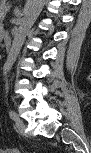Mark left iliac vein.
Listing matches in <instances>:
<instances>
[{"mask_svg": "<svg viewBox=\"0 0 91 153\" xmlns=\"http://www.w3.org/2000/svg\"><path fill=\"white\" fill-rule=\"evenodd\" d=\"M16 127L17 130L24 136H27L26 132H25V124L24 122L18 117L16 120Z\"/></svg>", "mask_w": 91, "mask_h": 153, "instance_id": "4c4485c4", "label": "left iliac vein"}]
</instances>
